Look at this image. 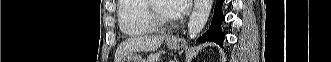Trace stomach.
I'll return each instance as SVG.
<instances>
[{
    "label": "stomach",
    "instance_id": "obj_1",
    "mask_svg": "<svg viewBox=\"0 0 331 62\" xmlns=\"http://www.w3.org/2000/svg\"><path fill=\"white\" fill-rule=\"evenodd\" d=\"M166 45L170 49H178L180 44L178 41L171 42L170 40H166ZM120 62H146L141 56L138 55H129L123 58Z\"/></svg>",
    "mask_w": 331,
    "mask_h": 62
}]
</instances>
